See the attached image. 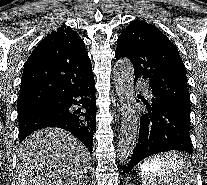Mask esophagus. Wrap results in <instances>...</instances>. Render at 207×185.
I'll use <instances>...</instances> for the list:
<instances>
[{"mask_svg": "<svg viewBox=\"0 0 207 185\" xmlns=\"http://www.w3.org/2000/svg\"><path fill=\"white\" fill-rule=\"evenodd\" d=\"M109 111H113V114L116 115V124H117V127L118 128H121L122 127V124H123V119H120L121 118V115L118 114V111H117V106H109Z\"/></svg>", "mask_w": 207, "mask_h": 185, "instance_id": "34e87169", "label": "esophagus"}]
</instances>
